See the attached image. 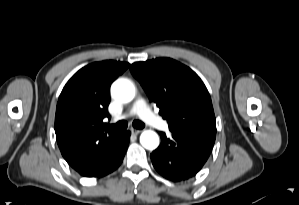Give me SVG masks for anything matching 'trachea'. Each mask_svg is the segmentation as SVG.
<instances>
[{
  "label": "trachea",
  "instance_id": "3493384b",
  "mask_svg": "<svg viewBox=\"0 0 299 205\" xmlns=\"http://www.w3.org/2000/svg\"><path fill=\"white\" fill-rule=\"evenodd\" d=\"M133 127L136 129H143L145 127V124L139 120H135L133 122ZM128 123L125 120L119 121L116 124H108L106 125L108 130L116 131V132H122L127 129Z\"/></svg>",
  "mask_w": 299,
  "mask_h": 205
}]
</instances>
